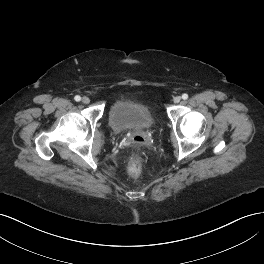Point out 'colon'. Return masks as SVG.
<instances>
[{"label":"colon","mask_w":264,"mask_h":264,"mask_svg":"<svg viewBox=\"0 0 264 264\" xmlns=\"http://www.w3.org/2000/svg\"><path fill=\"white\" fill-rule=\"evenodd\" d=\"M141 162L138 159H133L128 167V172L133 177H138L141 174Z\"/></svg>","instance_id":"colon-1"}]
</instances>
